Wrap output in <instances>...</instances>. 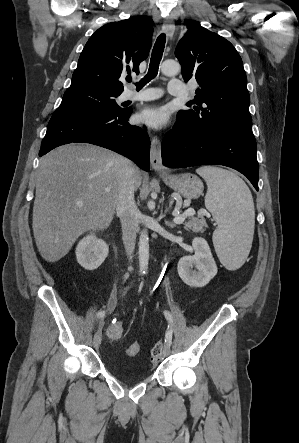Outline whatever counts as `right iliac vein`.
Here are the masks:
<instances>
[{
  "label": "right iliac vein",
  "instance_id": "right-iliac-vein-1",
  "mask_svg": "<svg viewBox=\"0 0 299 443\" xmlns=\"http://www.w3.org/2000/svg\"><path fill=\"white\" fill-rule=\"evenodd\" d=\"M102 323H103V321L100 320V321H99V325L101 326ZM100 344H101V332H100V330H98V331L95 333L94 338H93V346H94L95 348H98V347L100 346Z\"/></svg>",
  "mask_w": 299,
  "mask_h": 443
}]
</instances>
